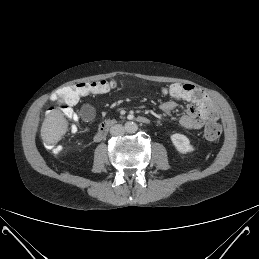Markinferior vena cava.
I'll return each instance as SVG.
<instances>
[{"label": "inferior vena cava", "instance_id": "obj_1", "mask_svg": "<svg viewBox=\"0 0 259 259\" xmlns=\"http://www.w3.org/2000/svg\"><path fill=\"white\" fill-rule=\"evenodd\" d=\"M125 133V128L121 124H116L110 128V134L120 136Z\"/></svg>", "mask_w": 259, "mask_h": 259}]
</instances>
